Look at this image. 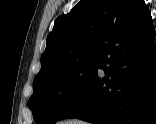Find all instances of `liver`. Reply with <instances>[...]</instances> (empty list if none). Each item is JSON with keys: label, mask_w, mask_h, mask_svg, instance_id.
<instances>
[{"label": "liver", "mask_w": 156, "mask_h": 124, "mask_svg": "<svg viewBox=\"0 0 156 124\" xmlns=\"http://www.w3.org/2000/svg\"><path fill=\"white\" fill-rule=\"evenodd\" d=\"M61 124H87L83 121L80 120H68V121H64Z\"/></svg>", "instance_id": "1"}]
</instances>
